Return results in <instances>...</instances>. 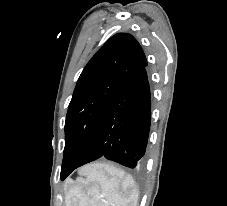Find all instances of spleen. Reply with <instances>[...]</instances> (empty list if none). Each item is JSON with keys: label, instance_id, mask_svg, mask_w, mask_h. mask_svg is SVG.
Wrapping results in <instances>:
<instances>
[{"label": "spleen", "instance_id": "1", "mask_svg": "<svg viewBox=\"0 0 227 206\" xmlns=\"http://www.w3.org/2000/svg\"><path fill=\"white\" fill-rule=\"evenodd\" d=\"M84 174L87 179H79L69 188L66 206H137L139 190L122 170L97 164L86 169Z\"/></svg>", "mask_w": 227, "mask_h": 206}]
</instances>
